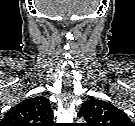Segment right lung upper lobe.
<instances>
[{"instance_id": "right-lung-upper-lobe-1", "label": "right lung upper lobe", "mask_w": 135, "mask_h": 126, "mask_svg": "<svg viewBox=\"0 0 135 126\" xmlns=\"http://www.w3.org/2000/svg\"><path fill=\"white\" fill-rule=\"evenodd\" d=\"M53 111L43 96L25 99L12 107L0 121V126H49Z\"/></svg>"}]
</instances>
